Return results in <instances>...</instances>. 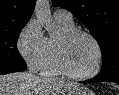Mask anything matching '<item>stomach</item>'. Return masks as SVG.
<instances>
[{
  "mask_svg": "<svg viewBox=\"0 0 119 95\" xmlns=\"http://www.w3.org/2000/svg\"><path fill=\"white\" fill-rule=\"evenodd\" d=\"M67 95H94V93L87 88L77 87L70 90Z\"/></svg>",
  "mask_w": 119,
  "mask_h": 95,
  "instance_id": "stomach-1",
  "label": "stomach"
}]
</instances>
